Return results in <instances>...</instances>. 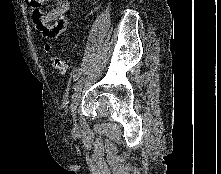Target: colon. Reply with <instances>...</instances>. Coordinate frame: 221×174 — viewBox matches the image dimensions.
Instances as JSON below:
<instances>
[{
    "instance_id": "5ec220e1",
    "label": "colon",
    "mask_w": 221,
    "mask_h": 174,
    "mask_svg": "<svg viewBox=\"0 0 221 174\" xmlns=\"http://www.w3.org/2000/svg\"><path fill=\"white\" fill-rule=\"evenodd\" d=\"M45 49L49 52V45H46ZM48 61L53 68L60 70L61 72H67L70 69L67 59L57 54H49Z\"/></svg>"
}]
</instances>
